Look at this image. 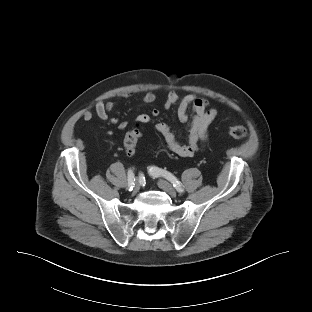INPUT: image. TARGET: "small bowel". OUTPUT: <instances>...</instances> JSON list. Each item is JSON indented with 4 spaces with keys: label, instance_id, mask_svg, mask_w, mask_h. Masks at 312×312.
<instances>
[{
    "label": "small bowel",
    "instance_id": "obj_1",
    "mask_svg": "<svg viewBox=\"0 0 312 312\" xmlns=\"http://www.w3.org/2000/svg\"><path fill=\"white\" fill-rule=\"evenodd\" d=\"M121 97L128 98L129 95L124 94ZM155 99L156 95L153 92H147L142 97V101L146 104L153 103ZM176 104H178V119L186 125L187 141H179L170 127L164 122L157 123L155 128L164 137L167 147L172 153L180 157H191L205 144L208 137V128L217 116V110L210 106L207 99L199 95L187 94L180 98L175 91L168 92L165 97L164 108L170 109ZM114 110L115 103L111 101H100L95 106V113L100 119L109 121L112 124H118L120 130H125L128 127V121H119L117 116H111L110 114ZM190 111L192 114H190ZM159 113L158 108H153L149 113L137 115L135 122L146 124L152 117H157ZM82 118L85 121L91 120L93 118V112L91 110H85L82 113Z\"/></svg>",
    "mask_w": 312,
    "mask_h": 312
}]
</instances>
